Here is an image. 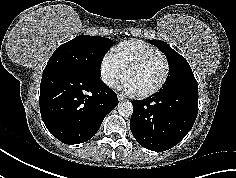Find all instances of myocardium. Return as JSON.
I'll return each instance as SVG.
<instances>
[{
  "label": "myocardium",
  "instance_id": "1",
  "mask_svg": "<svg viewBox=\"0 0 236 178\" xmlns=\"http://www.w3.org/2000/svg\"><path fill=\"white\" fill-rule=\"evenodd\" d=\"M162 59L164 61V64H165V73L163 75V78L161 79V81L159 82V84L157 86H155L154 88L152 89H149L145 92H141V93H134V95L138 98H146V97H149L151 95H154L156 94L157 92H159L163 87L164 85L166 84L168 78H169V75H170V71H171V65H170V62L168 60V58L163 55L162 53L160 54H153V55H149V56H146V57H143L141 59H138V60H134L132 61L131 63H129L125 69H124V74H123V78L125 79L126 75L133 69L135 68H138L140 66H143L145 65L146 63L154 60V59Z\"/></svg>",
  "mask_w": 236,
  "mask_h": 178
}]
</instances>
